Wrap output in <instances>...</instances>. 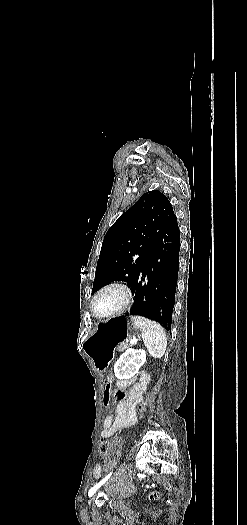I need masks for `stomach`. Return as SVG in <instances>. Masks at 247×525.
<instances>
[{"instance_id": "0dacf381", "label": "stomach", "mask_w": 247, "mask_h": 525, "mask_svg": "<svg viewBox=\"0 0 247 525\" xmlns=\"http://www.w3.org/2000/svg\"><path fill=\"white\" fill-rule=\"evenodd\" d=\"M139 328L131 318L115 317L96 327L84 343L85 354L96 370L104 371L112 360L116 347L138 334Z\"/></svg>"}]
</instances>
